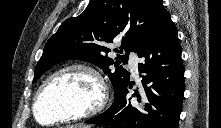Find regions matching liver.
<instances>
[{"instance_id": "obj_1", "label": "liver", "mask_w": 221, "mask_h": 128, "mask_svg": "<svg viewBox=\"0 0 221 128\" xmlns=\"http://www.w3.org/2000/svg\"><path fill=\"white\" fill-rule=\"evenodd\" d=\"M69 128H89V126L82 125V124H80V125L77 124V125H72Z\"/></svg>"}]
</instances>
